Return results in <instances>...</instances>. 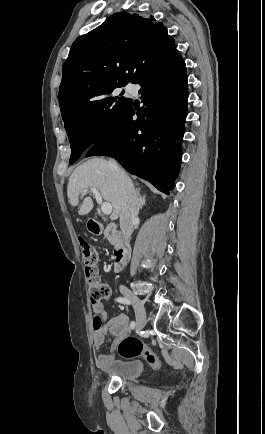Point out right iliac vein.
<instances>
[{
	"instance_id": "63e3f726",
	"label": "right iliac vein",
	"mask_w": 265,
	"mask_h": 434,
	"mask_svg": "<svg viewBox=\"0 0 265 434\" xmlns=\"http://www.w3.org/2000/svg\"><path fill=\"white\" fill-rule=\"evenodd\" d=\"M121 293L125 296L126 299L130 301L135 310L136 323L135 327L137 331L142 330L144 325L146 324V311L143 305V302L134 294H132L127 288L121 287Z\"/></svg>"
}]
</instances>
